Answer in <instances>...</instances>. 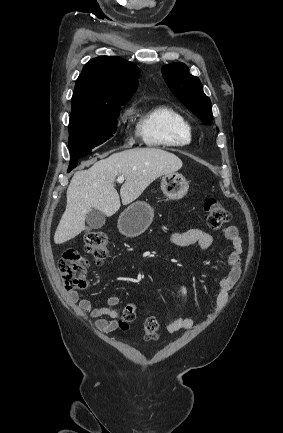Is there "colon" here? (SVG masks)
I'll use <instances>...</instances> for the list:
<instances>
[{
	"instance_id": "colon-1",
	"label": "colon",
	"mask_w": 283,
	"mask_h": 433,
	"mask_svg": "<svg viewBox=\"0 0 283 433\" xmlns=\"http://www.w3.org/2000/svg\"><path fill=\"white\" fill-rule=\"evenodd\" d=\"M206 224L213 229H218L230 220V213L222 203L215 199L207 200L204 204ZM85 250L91 255L94 262L102 264L109 253V239L103 231H93L84 239ZM59 271L67 291L85 289L87 283L85 274L88 262L74 250H67L59 261ZM136 305L128 303L121 315L119 327L127 330L136 317ZM160 323L156 317H148L144 323L145 339L154 341L158 338Z\"/></svg>"
}]
</instances>
